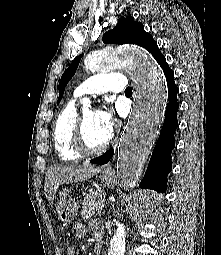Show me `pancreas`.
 I'll return each instance as SVG.
<instances>
[{
    "instance_id": "cf45deb5",
    "label": "pancreas",
    "mask_w": 221,
    "mask_h": 255,
    "mask_svg": "<svg viewBox=\"0 0 221 255\" xmlns=\"http://www.w3.org/2000/svg\"><path fill=\"white\" fill-rule=\"evenodd\" d=\"M106 194L102 190H93L87 194L82 203L81 215L84 219H89L97 212V206L103 203Z\"/></svg>"
}]
</instances>
